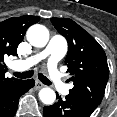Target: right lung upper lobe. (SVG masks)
Instances as JSON below:
<instances>
[{
  "label": "right lung upper lobe",
  "instance_id": "cb5924a9",
  "mask_svg": "<svg viewBox=\"0 0 117 117\" xmlns=\"http://www.w3.org/2000/svg\"><path fill=\"white\" fill-rule=\"evenodd\" d=\"M40 20L39 17L24 15L0 22V97L20 80L6 78L4 57L17 56V47L22 42L26 30Z\"/></svg>",
  "mask_w": 117,
  "mask_h": 117
}]
</instances>
